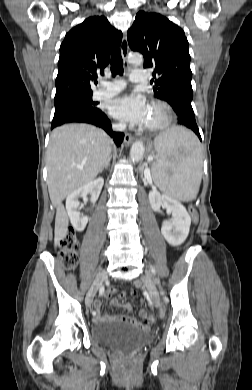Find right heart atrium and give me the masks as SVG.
<instances>
[{"instance_id":"1","label":"right heart atrium","mask_w":252,"mask_h":390,"mask_svg":"<svg viewBox=\"0 0 252 390\" xmlns=\"http://www.w3.org/2000/svg\"><path fill=\"white\" fill-rule=\"evenodd\" d=\"M116 126H118V127H122V124L118 123V124H116Z\"/></svg>"}]
</instances>
